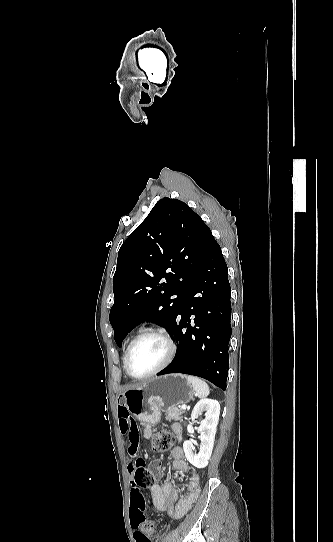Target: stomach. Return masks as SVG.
<instances>
[{
    "label": "stomach",
    "instance_id": "1",
    "mask_svg": "<svg viewBox=\"0 0 333 542\" xmlns=\"http://www.w3.org/2000/svg\"><path fill=\"white\" fill-rule=\"evenodd\" d=\"M194 390L183 374H167L151 378L141 388L127 390L119 396L129 414L142 424L156 426L161 420L162 410H171L179 404H188Z\"/></svg>",
    "mask_w": 333,
    "mask_h": 542
}]
</instances>
